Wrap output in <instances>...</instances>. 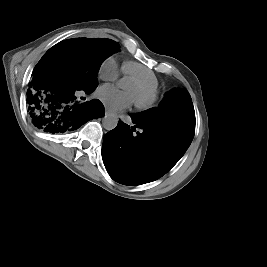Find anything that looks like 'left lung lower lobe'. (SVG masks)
<instances>
[{
	"mask_svg": "<svg viewBox=\"0 0 267 267\" xmlns=\"http://www.w3.org/2000/svg\"><path fill=\"white\" fill-rule=\"evenodd\" d=\"M119 121L103 141L102 159L112 179L125 185L154 181L183 156L192 139L168 128ZM135 128L142 129L140 132Z\"/></svg>",
	"mask_w": 267,
	"mask_h": 267,
	"instance_id": "1",
	"label": "left lung lower lobe"
}]
</instances>
